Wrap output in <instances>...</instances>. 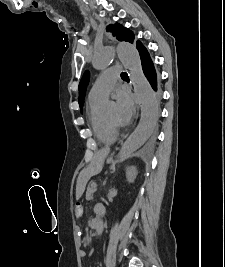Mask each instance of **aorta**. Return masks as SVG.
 <instances>
[{"mask_svg": "<svg viewBox=\"0 0 225 267\" xmlns=\"http://www.w3.org/2000/svg\"><path fill=\"white\" fill-rule=\"evenodd\" d=\"M114 52L115 50L112 46H103L94 55L92 60L93 67L97 70L107 68L112 63ZM116 53L128 71L134 91L141 104L140 122L119 153V158L124 160L138 150L151 135L158 119V104L155 94L143 73L136 47L127 42H120L116 47ZM96 231L98 234L102 233V224L97 226Z\"/></svg>", "mask_w": 225, "mask_h": 267, "instance_id": "obj_1", "label": "aorta"}]
</instances>
